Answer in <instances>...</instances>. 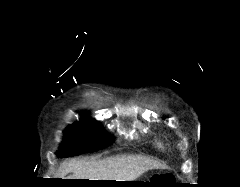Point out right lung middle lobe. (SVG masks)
Masks as SVG:
<instances>
[{"mask_svg":"<svg viewBox=\"0 0 240 187\" xmlns=\"http://www.w3.org/2000/svg\"><path fill=\"white\" fill-rule=\"evenodd\" d=\"M111 138L96 121L84 118L71 124L64 131L57 156L71 157L104 149L111 144Z\"/></svg>","mask_w":240,"mask_h":187,"instance_id":"obj_1","label":"right lung middle lobe"}]
</instances>
